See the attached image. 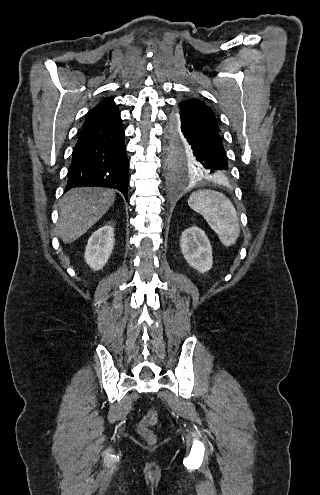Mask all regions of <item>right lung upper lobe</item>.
<instances>
[{"mask_svg":"<svg viewBox=\"0 0 320 495\" xmlns=\"http://www.w3.org/2000/svg\"><path fill=\"white\" fill-rule=\"evenodd\" d=\"M120 112L114 102V96L102 99L88 114L83 128L96 126L105 122L119 120Z\"/></svg>","mask_w":320,"mask_h":495,"instance_id":"obj_1","label":"right lung upper lobe"}]
</instances>
